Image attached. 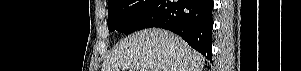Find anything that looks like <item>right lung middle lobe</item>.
I'll use <instances>...</instances> for the list:
<instances>
[{"mask_svg":"<svg viewBox=\"0 0 301 71\" xmlns=\"http://www.w3.org/2000/svg\"><path fill=\"white\" fill-rule=\"evenodd\" d=\"M157 0H109L108 28L124 34L141 30Z\"/></svg>","mask_w":301,"mask_h":71,"instance_id":"dd1d6c3e","label":"right lung middle lobe"}]
</instances>
